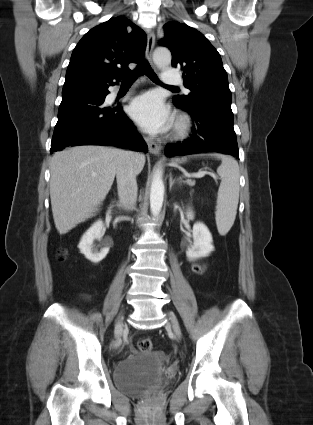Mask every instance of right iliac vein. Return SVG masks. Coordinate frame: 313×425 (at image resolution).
<instances>
[{
	"label": "right iliac vein",
	"mask_w": 313,
	"mask_h": 425,
	"mask_svg": "<svg viewBox=\"0 0 313 425\" xmlns=\"http://www.w3.org/2000/svg\"><path fill=\"white\" fill-rule=\"evenodd\" d=\"M122 325H123L122 318H119L118 321L115 324V330L116 331L120 330L122 328Z\"/></svg>",
	"instance_id": "1"
}]
</instances>
